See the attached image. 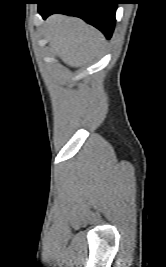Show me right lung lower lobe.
Here are the masks:
<instances>
[{
    "label": "right lung lower lobe",
    "instance_id": "98d812e1",
    "mask_svg": "<svg viewBox=\"0 0 166 267\" xmlns=\"http://www.w3.org/2000/svg\"><path fill=\"white\" fill-rule=\"evenodd\" d=\"M117 3V0H41L38 11L43 19L53 13L80 17L110 39L115 26Z\"/></svg>",
    "mask_w": 166,
    "mask_h": 267
}]
</instances>
